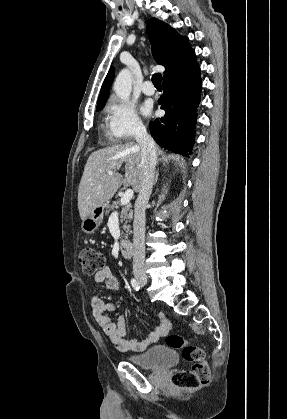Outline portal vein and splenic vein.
I'll return each instance as SVG.
<instances>
[{
    "mask_svg": "<svg viewBox=\"0 0 287 419\" xmlns=\"http://www.w3.org/2000/svg\"><path fill=\"white\" fill-rule=\"evenodd\" d=\"M108 174L112 175L113 172L109 171ZM133 194H134V191L132 189H127L125 193L123 194V196L121 197L120 204L121 205L128 204L130 200L132 199Z\"/></svg>",
    "mask_w": 287,
    "mask_h": 419,
    "instance_id": "portal-vein-and-splenic-vein-1",
    "label": "portal vein and splenic vein"
}]
</instances>
